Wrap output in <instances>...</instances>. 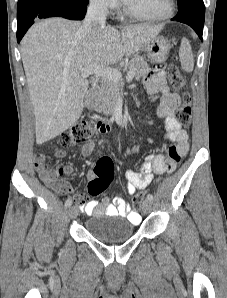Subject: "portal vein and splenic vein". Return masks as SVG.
<instances>
[{"instance_id": "18ae733b", "label": "portal vein and splenic vein", "mask_w": 227, "mask_h": 298, "mask_svg": "<svg viewBox=\"0 0 227 298\" xmlns=\"http://www.w3.org/2000/svg\"><path fill=\"white\" fill-rule=\"evenodd\" d=\"M81 77L86 78L89 75H95L102 77L104 79H108L110 81H114L116 83L123 81L122 74L119 70L113 69L110 67H104L97 64L89 65L84 67L80 71ZM134 77V73L132 71L128 72L126 80L127 82L132 81Z\"/></svg>"}]
</instances>
